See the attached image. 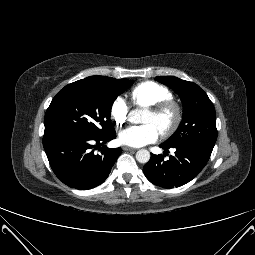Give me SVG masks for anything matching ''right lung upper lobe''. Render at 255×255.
Returning a JSON list of instances; mask_svg holds the SVG:
<instances>
[{
  "instance_id": "cb5924a9",
  "label": "right lung upper lobe",
  "mask_w": 255,
  "mask_h": 255,
  "mask_svg": "<svg viewBox=\"0 0 255 255\" xmlns=\"http://www.w3.org/2000/svg\"><path fill=\"white\" fill-rule=\"evenodd\" d=\"M110 78L111 77H106V76H90V77H87L85 79L78 80V81H76L74 83H71V84L92 83V82L101 83V82L109 80ZM71 84H69V85H71Z\"/></svg>"
}]
</instances>
